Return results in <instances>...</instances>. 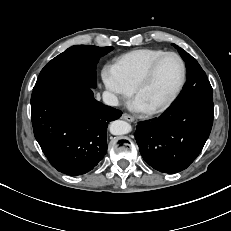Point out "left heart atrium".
I'll return each instance as SVG.
<instances>
[{"instance_id": "obj_1", "label": "left heart atrium", "mask_w": 231, "mask_h": 231, "mask_svg": "<svg viewBox=\"0 0 231 231\" xmlns=\"http://www.w3.org/2000/svg\"><path fill=\"white\" fill-rule=\"evenodd\" d=\"M129 108L136 112H146L148 108L139 100L138 97L129 103Z\"/></svg>"}]
</instances>
